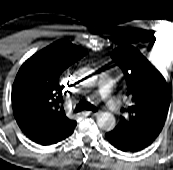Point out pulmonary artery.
I'll return each mask as SVG.
<instances>
[{
    "instance_id": "1",
    "label": "pulmonary artery",
    "mask_w": 173,
    "mask_h": 170,
    "mask_svg": "<svg viewBox=\"0 0 173 170\" xmlns=\"http://www.w3.org/2000/svg\"><path fill=\"white\" fill-rule=\"evenodd\" d=\"M113 86V80L108 75H102L99 78V93L102 98L107 99L110 97L111 91ZM110 109L113 111L116 109L115 104L110 105Z\"/></svg>"
}]
</instances>
